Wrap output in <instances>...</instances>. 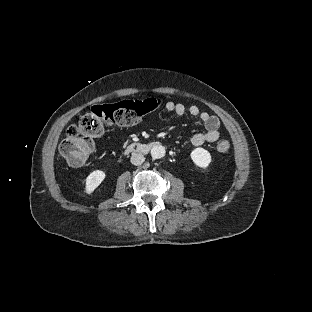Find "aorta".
I'll return each mask as SVG.
<instances>
[{"mask_svg": "<svg viewBox=\"0 0 312 312\" xmlns=\"http://www.w3.org/2000/svg\"><path fill=\"white\" fill-rule=\"evenodd\" d=\"M153 159H160L165 155V148L161 145H153L150 150Z\"/></svg>", "mask_w": 312, "mask_h": 312, "instance_id": "aorta-1", "label": "aorta"}]
</instances>
